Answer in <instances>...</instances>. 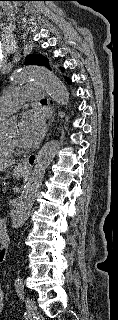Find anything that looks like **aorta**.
Returning <instances> with one entry per match:
<instances>
[{"label":"aorta","mask_w":118,"mask_h":320,"mask_svg":"<svg viewBox=\"0 0 118 320\" xmlns=\"http://www.w3.org/2000/svg\"><path fill=\"white\" fill-rule=\"evenodd\" d=\"M12 78L16 83L37 81L45 88L55 102L61 105L69 103V93L64 83L45 67L37 65L26 66L15 71L12 74ZM3 125L11 127L14 125V121L12 119H5ZM59 149L60 143L58 141H49L38 152L33 172L26 182L13 211V228L17 229L21 227L28 219L30 209L42 185L46 169L53 161Z\"/></svg>","instance_id":"obj_1"}]
</instances>
